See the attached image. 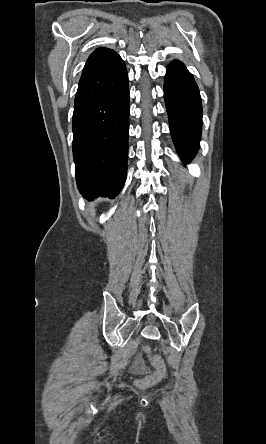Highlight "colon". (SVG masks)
<instances>
[{"label": "colon", "mask_w": 266, "mask_h": 444, "mask_svg": "<svg viewBox=\"0 0 266 444\" xmlns=\"http://www.w3.org/2000/svg\"><path fill=\"white\" fill-rule=\"evenodd\" d=\"M145 351L149 355L154 369L150 374L137 380L136 384L141 388H148L159 383L167 372L166 364L160 355L153 353L149 347H145Z\"/></svg>", "instance_id": "obj_1"}]
</instances>
